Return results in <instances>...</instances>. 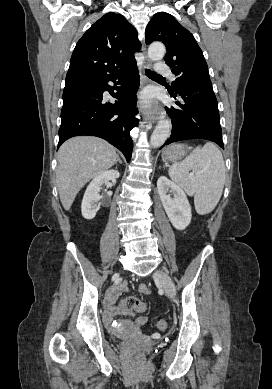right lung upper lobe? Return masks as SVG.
Returning <instances> with one entry per match:
<instances>
[{
    "mask_svg": "<svg viewBox=\"0 0 272 389\" xmlns=\"http://www.w3.org/2000/svg\"><path fill=\"white\" fill-rule=\"evenodd\" d=\"M141 48L136 29L122 16L109 12L78 41L70 60L66 84L101 79L136 63Z\"/></svg>",
    "mask_w": 272,
    "mask_h": 389,
    "instance_id": "obj_1",
    "label": "right lung upper lobe"
}]
</instances>
